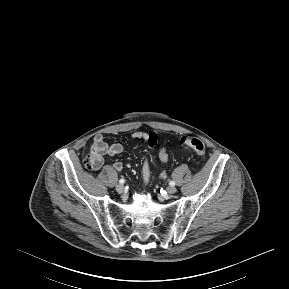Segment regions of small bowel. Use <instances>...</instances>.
<instances>
[{
	"instance_id": "c3829d8e",
	"label": "small bowel",
	"mask_w": 289,
	"mask_h": 289,
	"mask_svg": "<svg viewBox=\"0 0 289 289\" xmlns=\"http://www.w3.org/2000/svg\"><path fill=\"white\" fill-rule=\"evenodd\" d=\"M150 137V134L142 131H138L132 134L133 140H144L148 142ZM91 155L93 156L95 160V169H98L103 164V157L108 156H116L123 152V145L120 143H113V144H107L101 134L96 135L93 138L92 144H91ZM113 168L116 171H121L123 169V164L119 161L113 163ZM167 177V173L165 171H162L159 175V178L164 180Z\"/></svg>"
}]
</instances>
